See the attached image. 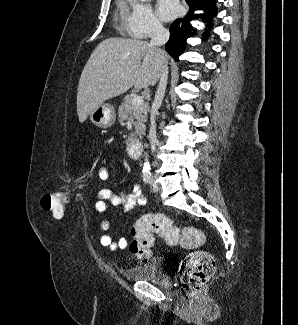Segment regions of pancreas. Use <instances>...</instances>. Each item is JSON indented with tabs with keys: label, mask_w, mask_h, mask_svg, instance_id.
<instances>
[{
	"label": "pancreas",
	"mask_w": 298,
	"mask_h": 325,
	"mask_svg": "<svg viewBox=\"0 0 298 325\" xmlns=\"http://www.w3.org/2000/svg\"><path fill=\"white\" fill-rule=\"evenodd\" d=\"M131 92H138V90H131ZM132 98L133 96H124L123 102H121L120 106H118V118L119 122H124V120H128V118H132V124L135 126L134 132H130L129 136H127V144H129L130 140H134V138H138V136H142L146 130V120H147V112L150 108L149 102H143L141 106H132Z\"/></svg>",
	"instance_id": "1"
}]
</instances>
